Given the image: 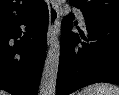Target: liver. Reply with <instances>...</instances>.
Here are the masks:
<instances>
[{
  "instance_id": "6515ba94",
  "label": "liver",
  "mask_w": 119,
  "mask_h": 95,
  "mask_svg": "<svg viewBox=\"0 0 119 95\" xmlns=\"http://www.w3.org/2000/svg\"><path fill=\"white\" fill-rule=\"evenodd\" d=\"M0 95H8L7 92L0 90Z\"/></svg>"
}]
</instances>
